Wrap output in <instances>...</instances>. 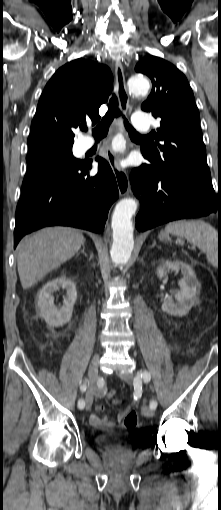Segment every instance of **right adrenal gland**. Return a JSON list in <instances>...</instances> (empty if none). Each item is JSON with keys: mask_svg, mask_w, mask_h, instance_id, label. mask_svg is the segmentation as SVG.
<instances>
[{"mask_svg": "<svg viewBox=\"0 0 221 510\" xmlns=\"http://www.w3.org/2000/svg\"><path fill=\"white\" fill-rule=\"evenodd\" d=\"M80 253L84 254L87 257V254L85 252V244H83L82 250L79 253H77L76 256H78Z\"/></svg>", "mask_w": 221, "mask_h": 510, "instance_id": "2a0ac1e0", "label": "right adrenal gland"}]
</instances>
